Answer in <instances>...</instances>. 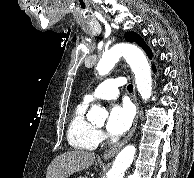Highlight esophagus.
<instances>
[{
  "label": "esophagus",
  "instance_id": "esophagus-1",
  "mask_svg": "<svg viewBox=\"0 0 194 178\" xmlns=\"http://www.w3.org/2000/svg\"><path fill=\"white\" fill-rule=\"evenodd\" d=\"M133 100H134L136 107H137V115H136V118L134 120L133 126H132L130 132L120 142H118L117 144L112 146L110 149L105 151V153L103 154L104 158H111V157L115 156L120 151V149L130 140V138L133 136V134L135 133V130L137 127V122H138V117H139V113H140V107H139V103L137 101V96H136L135 91H134V95H133Z\"/></svg>",
  "mask_w": 194,
  "mask_h": 178
}]
</instances>
